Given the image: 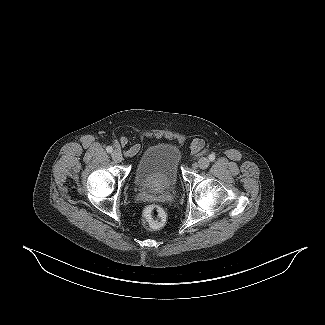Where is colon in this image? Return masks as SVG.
I'll list each match as a JSON object with an SVG mask.
<instances>
[{"label":"colon","instance_id":"5ec220e1","mask_svg":"<svg viewBox=\"0 0 325 325\" xmlns=\"http://www.w3.org/2000/svg\"><path fill=\"white\" fill-rule=\"evenodd\" d=\"M200 147L201 145L199 142L194 146L195 149H199ZM143 217L147 226L150 228H158L164 224L166 214L160 206L151 204L144 209Z\"/></svg>","mask_w":325,"mask_h":325}]
</instances>
